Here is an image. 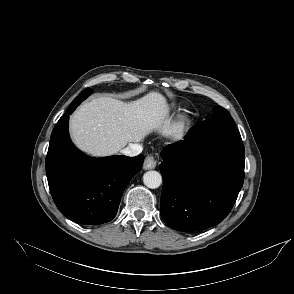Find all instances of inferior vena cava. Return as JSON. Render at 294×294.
<instances>
[{"instance_id":"obj_1","label":"inferior vena cava","mask_w":294,"mask_h":294,"mask_svg":"<svg viewBox=\"0 0 294 294\" xmlns=\"http://www.w3.org/2000/svg\"><path fill=\"white\" fill-rule=\"evenodd\" d=\"M143 150L142 145L130 143L126 148L122 149L120 152L126 156L134 157L139 155Z\"/></svg>"}]
</instances>
